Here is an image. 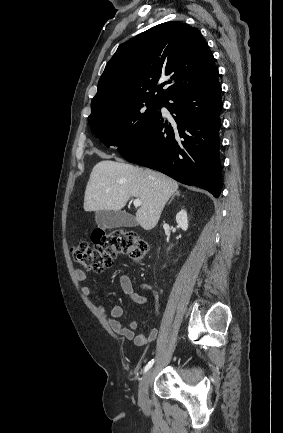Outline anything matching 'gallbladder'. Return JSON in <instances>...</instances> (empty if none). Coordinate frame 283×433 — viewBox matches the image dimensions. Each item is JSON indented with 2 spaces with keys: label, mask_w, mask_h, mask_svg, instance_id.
<instances>
[{
  "label": "gallbladder",
  "mask_w": 283,
  "mask_h": 433,
  "mask_svg": "<svg viewBox=\"0 0 283 433\" xmlns=\"http://www.w3.org/2000/svg\"><path fill=\"white\" fill-rule=\"evenodd\" d=\"M95 221L99 229H118V227H138L133 214L123 210H96Z\"/></svg>",
  "instance_id": "1"
}]
</instances>
